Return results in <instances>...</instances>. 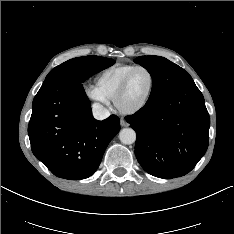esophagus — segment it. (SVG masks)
<instances>
[{
  "mask_svg": "<svg viewBox=\"0 0 234 234\" xmlns=\"http://www.w3.org/2000/svg\"><path fill=\"white\" fill-rule=\"evenodd\" d=\"M120 124H121L122 127L129 126V123L125 119H123V118L121 119Z\"/></svg>",
  "mask_w": 234,
  "mask_h": 234,
  "instance_id": "34e87169",
  "label": "esophagus"
}]
</instances>
